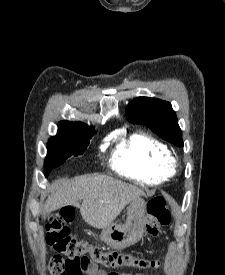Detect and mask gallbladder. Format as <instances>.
I'll return each mask as SVG.
<instances>
[{"instance_id": "obj_1", "label": "gallbladder", "mask_w": 225, "mask_h": 275, "mask_svg": "<svg viewBox=\"0 0 225 275\" xmlns=\"http://www.w3.org/2000/svg\"><path fill=\"white\" fill-rule=\"evenodd\" d=\"M48 215H49V212H47L46 210L42 211L43 218H46Z\"/></svg>"}]
</instances>
